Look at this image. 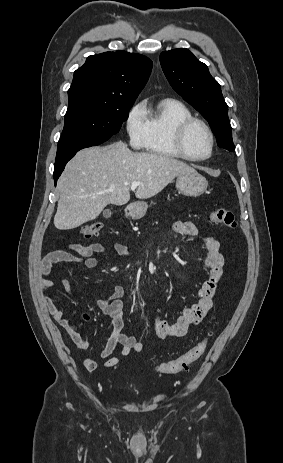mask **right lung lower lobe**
<instances>
[{
  "instance_id": "obj_1",
  "label": "right lung lower lobe",
  "mask_w": 283,
  "mask_h": 463,
  "mask_svg": "<svg viewBox=\"0 0 283 463\" xmlns=\"http://www.w3.org/2000/svg\"><path fill=\"white\" fill-rule=\"evenodd\" d=\"M108 139H100V140H86V141H79L69 145L60 146L57 149L56 161L54 165V182L56 185V181L61 175L62 171L65 168L66 163L74 157V155L81 149L96 146Z\"/></svg>"
}]
</instances>
